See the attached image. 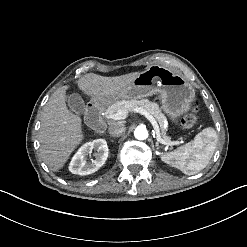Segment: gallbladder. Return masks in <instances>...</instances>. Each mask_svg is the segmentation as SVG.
Returning <instances> with one entry per match:
<instances>
[{
  "instance_id": "1",
  "label": "gallbladder",
  "mask_w": 247,
  "mask_h": 247,
  "mask_svg": "<svg viewBox=\"0 0 247 247\" xmlns=\"http://www.w3.org/2000/svg\"><path fill=\"white\" fill-rule=\"evenodd\" d=\"M68 106L70 111L75 112L78 115L84 114L85 112V104L82 97L79 94H71L68 97Z\"/></svg>"
}]
</instances>
